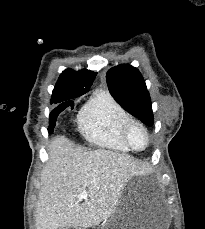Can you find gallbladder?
I'll list each match as a JSON object with an SVG mask.
<instances>
[{
  "label": "gallbladder",
  "instance_id": "gallbladder-1",
  "mask_svg": "<svg viewBox=\"0 0 205 229\" xmlns=\"http://www.w3.org/2000/svg\"><path fill=\"white\" fill-rule=\"evenodd\" d=\"M59 229H68L67 227H61V228H59Z\"/></svg>",
  "mask_w": 205,
  "mask_h": 229
}]
</instances>
